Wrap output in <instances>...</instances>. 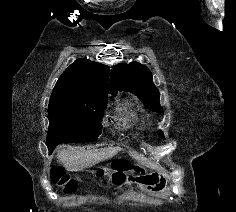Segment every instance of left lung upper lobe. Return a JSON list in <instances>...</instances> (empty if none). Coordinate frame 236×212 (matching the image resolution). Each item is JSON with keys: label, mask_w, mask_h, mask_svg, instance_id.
<instances>
[{"label": "left lung upper lobe", "mask_w": 236, "mask_h": 212, "mask_svg": "<svg viewBox=\"0 0 236 212\" xmlns=\"http://www.w3.org/2000/svg\"><path fill=\"white\" fill-rule=\"evenodd\" d=\"M123 90L135 94L149 110L163 114V109L159 104L160 93L153 83L150 70L145 65L132 62L118 64L112 69L111 93L115 96L117 91ZM158 134L164 138L161 131Z\"/></svg>", "instance_id": "left-lung-upper-lobe-1"}]
</instances>
